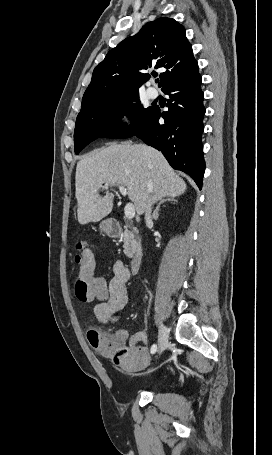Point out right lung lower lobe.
I'll list each match as a JSON object with an SVG mask.
<instances>
[{
	"label": "right lung lower lobe",
	"mask_w": 272,
	"mask_h": 455,
	"mask_svg": "<svg viewBox=\"0 0 272 455\" xmlns=\"http://www.w3.org/2000/svg\"><path fill=\"white\" fill-rule=\"evenodd\" d=\"M201 81L197 70L164 88L163 93L170 97L168 111L161 113L155 107L148 120L134 134L160 150L174 169L189 174L200 189L205 170L201 143L205 114ZM160 117L164 119V124L158 122Z\"/></svg>",
	"instance_id": "obj_1"
}]
</instances>
